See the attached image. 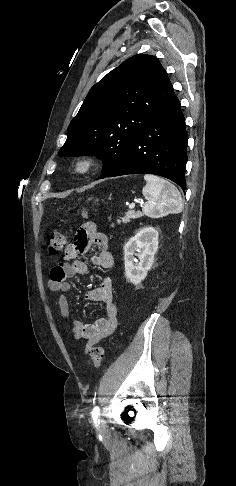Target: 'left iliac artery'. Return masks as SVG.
<instances>
[{
    "label": "left iliac artery",
    "instance_id": "obj_1",
    "mask_svg": "<svg viewBox=\"0 0 236 486\" xmlns=\"http://www.w3.org/2000/svg\"><path fill=\"white\" fill-rule=\"evenodd\" d=\"M98 415H99V408L95 407L92 411V417L94 420V424L98 426L99 420H98Z\"/></svg>",
    "mask_w": 236,
    "mask_h": 486
}]
</instances>
